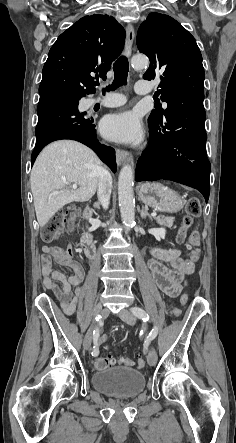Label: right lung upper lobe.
Wrapping results in <instances>:
<instances>
[{
    "label": "right lung upper lobe",
    "mask_w": 236,
    "mask_h": 443,
    "mask_svg": "<svg viewBox=\"0 0 236 443\" xmlns=\"http://www.w3.org/2000/svg\"><path fill=\"white\" fill-rule=\"evenodd\" d=\"M125 30L109 15L84 16L62 33L43 67L40 95L85 96L95 92L92 74L106 77L123 49Z\"/></svg>",
    "instance_id": "right-lung-upper-lobe-1"
}]
</instances>
